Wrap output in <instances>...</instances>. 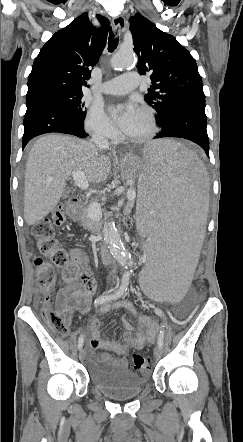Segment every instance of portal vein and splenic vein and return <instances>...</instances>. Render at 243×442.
<instances>
[{
  "label": "portal vein and splenic vein",
  "instance_id": "obj_1",
  "mask_svg": "<svg viewBox=\"0 0 243 442\" xmlns=\"http://www.w3.org/2000/svg\"><path fill=\"white\" fill-rule=\"evenodd\" d=\"M72 176L75 184L79 188L84 190L89 186L86 176L82 171H73ZM127 197L129 200H134L136 197L135 190L129 189L127 192ZM88 214L91 219L99 220L102 216L100 205L97 203H91L88 209Z\"/></svg>",
  "mask_w": 243,
  "mask_h": 442
}]
</instances>
